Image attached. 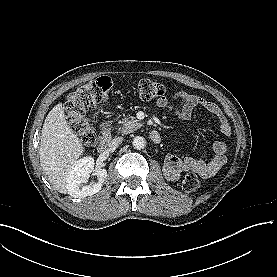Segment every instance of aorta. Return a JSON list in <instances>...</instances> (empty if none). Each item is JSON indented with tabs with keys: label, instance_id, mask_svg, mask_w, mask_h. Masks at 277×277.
I'll return each instance as SVG.
<instances>
[{
	"label": "aorta",
	"instance_id": "762f6f07",
	"mask_svg": "<svg viewBox=\"0 0 277 277\" xmlns=\"http://www.w3.org/2000/svg\"><path fill=\"white\" fill-rule=\"evenodd\" d=\"M132 145L134 149H137V150L144 149L146 146V140L141 136H136L132 141Z\"/></svg>",
	"mask_w": 277,
	"mask_h": 277
}]
</instances>
